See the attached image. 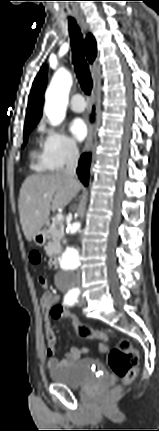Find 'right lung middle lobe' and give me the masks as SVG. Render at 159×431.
<instances>
[{"label":"right lung middle lobe","instance_id":"obj_1","mask_svg":"<svg viewBox=\"0 0 159 431\" xmlns=\"http://www.w3.org/2000/svg\"><path fill=\"white\" fill-rule=\"evenodd\" d=\"M35 126H31V127H27V128H24V138H27V136L29 135V133L32 131V129L34 128ZM26 144V140L24 141V145Z\"/></svg>","mask_w":159,"mask_h":431}]
</instances>
